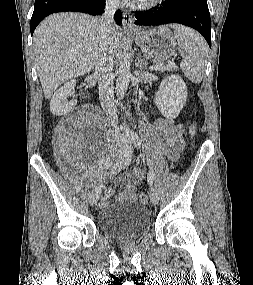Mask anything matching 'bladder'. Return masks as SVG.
<instances>
[{
    "label": "bladder",
    "mask_w": 253,
    "mask_h": 285,
    "mask_svg": "<svg viewBox=\"0 0 253 285\" xmlns=\"http://www.w3.org/2000/svg\"><path fill=\"white\" fill-rule=\"evenodd\" d=\"M98 224L101 231L111 239H138L148 232L151 213L138 202H119L101 209Z\"/></svg>",
    "instance_id": "1"
}]
</instances>
